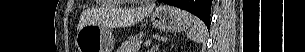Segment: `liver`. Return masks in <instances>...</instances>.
Returning <instances> with one entry per match:
<instances>
[{
    "label": "liver",
    "mask_w": 305,
    "mask_h": 52,
    "mask_svg": "<svg viewBox=\"0 0 305 52\" xmlns=\"http://www.w3.org/2000/svg\"><path fill=\"white\" fill-rule=\"evenodd\" d=\"M153 10V6H141L137 8H120L113 7L109 10V25L111 27H130L137 24L145 18ZM94 19L89 11L82 13L77 29L80 30L82 27L88 24H94Z\"/></svg>",
    "instance_id": "obj_1"
}]
</instances>
